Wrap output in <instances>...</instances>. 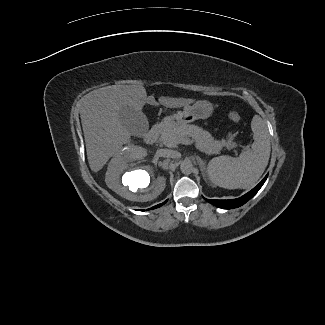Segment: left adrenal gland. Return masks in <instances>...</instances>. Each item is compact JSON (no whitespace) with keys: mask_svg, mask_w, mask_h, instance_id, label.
Here are the masks:
<instances>
[{"mask_svg":"<svg viewBox=\"0 0 325 325\" xmlns=\"http://www.w3.org/2000/svg\"><path fill=\"white\" fill-rule=\"evenodd\" d=\"M197 162L199 164L200 170L202 172L203 179L208 182L206 177V168H205V161H203L199 156H196Z\"/></svg>","mask_w":325,"mask_h":325,"instance_id":"a2214340","label":"left adrenal gland"}]
</instances>
